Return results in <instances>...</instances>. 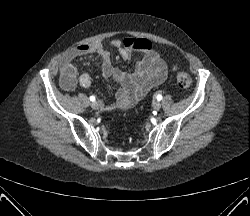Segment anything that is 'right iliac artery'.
Wrapping results in <instances>:
<instances>
[{
  "instance_id": "right-iliac-artery-1",
  "label": "right iliac artery",
  "mask_w": 250,
  "mask_h": 216,
  "mask_svg": "<svg viewBox=\"0 0 250 216\" xmlns=\"http://www.w3.org/2000/svg\"><path fill=\"white\" fill-rule=\"evenodd\" d=\"M90 101L94 102L95 101V97L94 96H90Z\"/></svg>"
}]
</instances>
